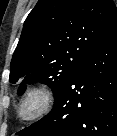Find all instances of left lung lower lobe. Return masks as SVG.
I'll return each instance as SVG.
<instances>
[{"label": "left lung lower lobe", "mask_w": 117, "mask_h": 136, "mask_svg": "<svg viewBox=\"0 0 117 136\" xmlns=\"http://www.w3.org/2000/svg\"><path fill=\"white\" fill-rule=\"evenodd\" d=\"M54 97L52 111L18 135L117 136V24Z\"/></svg>", "instance_id": "0a47b994"}]
</instances>
